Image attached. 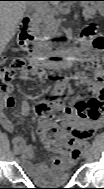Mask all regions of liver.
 <instances>
[{"mask_svg":"<svg viewBox=\"0 0 104 189\" xmlns=\"http://www.w3.org/2000/svg\"><path fill=\"white\" fill-rule=\"evenodd\" d=\"M26 1H1L0 4V48L3 50L17 31V25L22 19Z\"/></svg>","mask_w":104,"mask_h":189,"instance_id":"obj_1","label":"liver"}]
</instances>
